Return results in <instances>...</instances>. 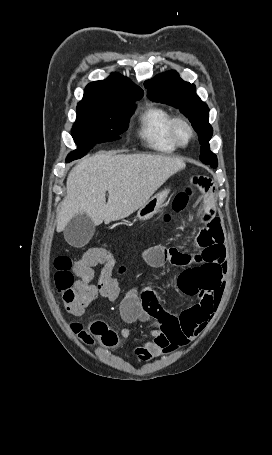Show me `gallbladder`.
I'll return each instance as SVG.
<instances>
[{
  "instance_id": "obj_1",
  "label": "gallbladder",
  "mask_w": 272,
  "mask_h": 455,
  "mask_svg": "<svg viewBox=\"0 0 272 455\" xmlns=\"http://www.w3.org/2000/svg\"><path fill=\"white\" fill-rule=\"evenodd\" d=\"M95 232V225L87 214L75 215L65 226V240L72 246L86 245Z\"/></svg>"
}]
</instances>
